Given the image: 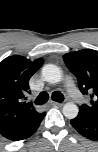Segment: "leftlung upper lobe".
<instances>
[{
    "label": "left lung upper lobe",
    "instance_id": "1",
    "mask_svg": "<svg viewBox=\"0 0 98 152\" xmlns=\"http://www.w3.org/2000/svg\"><path fill=\"white\" fill-rule=\"evenodd\" d=\"M68 69L76 76L80 91L89 95V104L80 107L81 116L98 122V51L84 49L63 56Z\"/></svg>",
    "mask_w": 98,
    "mask_h": 152
}]
</instances>
